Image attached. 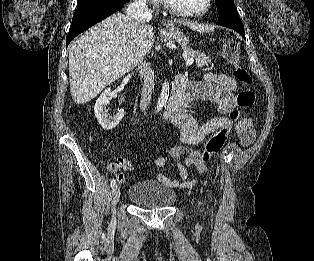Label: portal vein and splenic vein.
Returning <instances> with one entry per match:
<instances>
[{"label": "portal vein and splenic vein", "mask_w": 314, "mask_h": 261, "mask_svg": "<svg viewBox=\"0 0 314 261\" xmlns=\"http://www.w3.org/2000/svg\"><path fill=\"white\" fill-rule=\"evenodd\" d=\"M184 59L186 60V66L192 65L193 62H194V58L193 57L184 56ZM109 69H110V67H107V68L102 69V71H107Z\"/></svg>", "instance_id": "obj_1"}]
</instances>
